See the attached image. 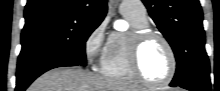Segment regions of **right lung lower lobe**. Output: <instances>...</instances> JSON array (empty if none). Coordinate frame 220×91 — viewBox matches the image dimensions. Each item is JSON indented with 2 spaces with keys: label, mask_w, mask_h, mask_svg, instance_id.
I'll list each match as a JSON object with an SVG mask.
<instances>
[{
  "label": "right lung lower lobe",
  "mask_w": 220,
  "mask_h": 91,
  "mask_svg": "<svg viewBox=\"0 0 220 91\" xmlns=\"http://www.w3.org/2000/svg\"><path fill=\"white\" fill-rule=\"evenodd\" d=\"M77 61L59 55L43 56L18 63L16 74V91H24L38 76L44 72L63 66H78Z\"/></svg>",
  "instance_id": "98d812e1"
}]
</instances>
